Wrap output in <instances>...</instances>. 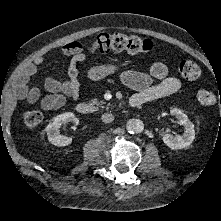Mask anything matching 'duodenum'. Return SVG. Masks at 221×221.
Instances as JSON below:
<instances>
[{
	"instance_id": "1",
	"label": "duodenum",
	"mask_w": 221,
	"mask_h": 221,
	"mask_svg": "<svg viewBox=\"0 0 221 221\" xmlns=\"http://www.w3.org/2000/svg\"><path fill=\"white\" fill-rule=\"evenodd\" d=\"M128 103L132 107H137L144 104V101L139 96L133 95L132 97L129 98ZM76 110L78 113L86 115L91 112V107L89 104L83 102L77 105Z\"/></svg>"
}]
</instances>
